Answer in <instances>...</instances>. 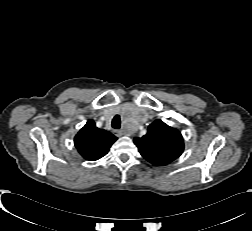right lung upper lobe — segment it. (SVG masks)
I'll return each instance as SVG.
<instances>
[{
  "mask_svg": "<svg viewBox=\"0 0 252 231\" xmlns=\"http://www.w3.org/2000/svg\"><path fill=\"white\" fill-rule=\"evenodd\" d=\"M117 140L112 133L99 129L89 120L74 138L78 152L87 160L95 161L106 155Z\"/></svg>",
  "mask_w": 252,
  "mask_h": 231,
  "instance_id": "cb5924a9",
  "label": "right lung upper lobe"
}]
</instances>
